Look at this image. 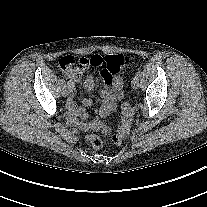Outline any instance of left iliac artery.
<instances>
[{
  "label": "left iliac artery",
  "instance_id": "44dca946",
  "mask_svg": "<svg viewBox=\"0 0 207 207\" xmlns=\"http://www.w3.org/2000/svg\"><path fill=\"white\" fill-rule=\"evenodd\" d=\"M141 76H142V72L141 71H137L136 72V77L141 78Z\"/></svg>",
  "mask_w": 207,
  "mask_h": 207
}]
</instances>
